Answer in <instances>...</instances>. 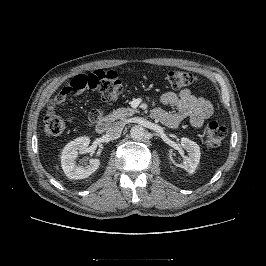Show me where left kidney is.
<instances>
[{"instance_id":"left-kidney-1","label":"left kidney","mask_w":266,"mask_h":266,"mask_svg":"<svg viewBox=\"0 0 266 266\" xmlns=\"http://www.w3.org/2000/svg\"><path fill=\"white\" fill-rule=\"evenodd\" d=\"M180 145L188 152V156L184 157L182 164L175 163V165L183 168L189 174H193L200 161V147L197 143L185 137L181 138Z\"/></svg>"}]
</instances>
